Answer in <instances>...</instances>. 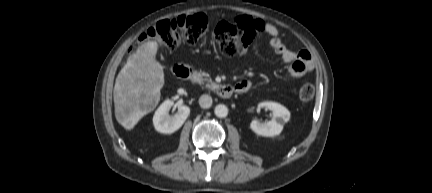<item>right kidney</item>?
I'll list each match as a JSON object with an SVG mask.
<instances>
[{
	"label": "right kidney",
	"instance_id": "right-kidney-1",
	"mask_svg": "<svg viewBox=\"0 0 432 193\" xmlns=\"http://www.w3.org/2000/svg\"><path fill=\"white\" fill-rule=\"evenodd\" d=\"M174 103L170 100L164 101L156 110L153 116L155 129L160 133L171 134L177 131L190 114V108L185 105H178L175 115L169 116L168 112Z\"/></svg>",
	"mask_w": 432,
	"mask_h": 193
}]
</instances>
